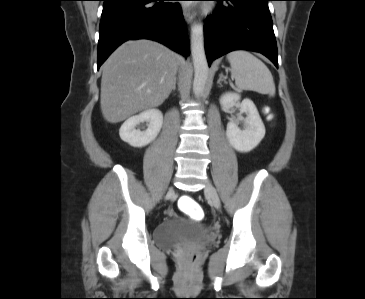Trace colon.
Wrapping results in <instances>:
<instances>
[{
	"label": "colon",
	"instance_id": "colon-1",
	"mask_svg": "<svg viewBox=\"0 0 365 299\" xmlns=\"http://www.w3.org/2000/svg\"><path fill=\"white\" fill-rule=\"evenodd\" d=\"M178 206L187 215L193 219H201L203 211L196 200L190 196H182L178 201Z\"/></svg>",
	"mask_w": 365,
	"mask_h": 299
}]
</instances>
